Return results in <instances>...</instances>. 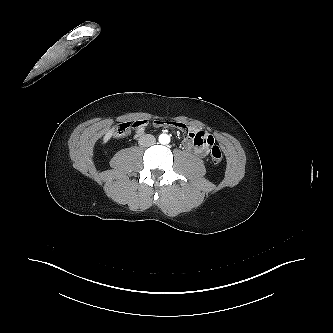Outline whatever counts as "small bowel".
Listing matches in <instances>:
<instances>
[{
	"mask_svg": "<svg viewBox=\"0 0 333 333\" xmlns=\"http://www.w3.org/2000/svg\"><path fill=\"white\" fill-rule=\"evenodd\" d=\"M136 136H141L148 125L147 120L140 119L134 123ZM154 124L158 127H170L180 130L186 134L182 145L185 149L194 152L199 156H206L209 147L214 144V138L202 130L189 127L182 122L174 120H156Z\"/></svg>",
	"mask_w": 333,
	"mask_h": 333,
	"instance_id": "1",
	"label": "small bowel"
}]
</instances>
